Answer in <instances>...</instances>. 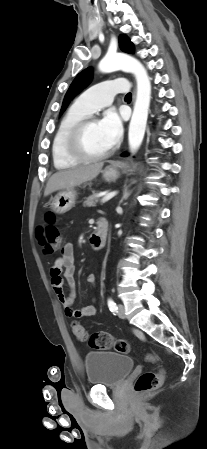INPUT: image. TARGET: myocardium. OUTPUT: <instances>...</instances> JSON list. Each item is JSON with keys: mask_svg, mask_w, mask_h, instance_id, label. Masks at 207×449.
<instances>
[{"mask_svg": "<svg viewBox=\"0 0 207 449\" xmlns=\"http://www.w3.org/2000/svg\"><path fill=\"white\" fill-rule=\"evenodd\" d=\"M95 122H97L95 118L88 116L77 122L69 131L66 138V151L72 158L80 162L81 161L93 162L106 158L112 152L113 150L112 147L98 154L89 153L84 148L83 146L84 132L91 124Z\"/></svg>", "mask_w": 207, "mask_h": 449, "instance_id": "f54148a6", "label": "myocardium"}]
</instances>
